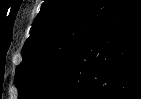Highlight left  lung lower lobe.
I'll return each mask as SVG.
<instances>
[{
    "instance_id": "left-lung-lower-lobe-1",
    "label": "left lung lower lobe",
    "mask_w": 141,
    "mask_h": 99,
    "mask_svg": "<svg viewBox=\"0 0 141 99\" xmlns=\"http://www.w3.org/2000/svg\"><path fill=\"white\" fill-rule=\"evenodd\" d=\"M37 99H141V0H121Z\"/></svg>"
}]
</instances>
